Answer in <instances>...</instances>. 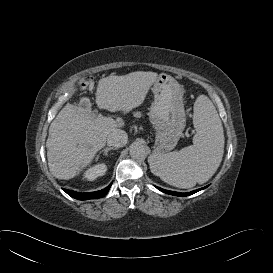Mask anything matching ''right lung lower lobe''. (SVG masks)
<instances>
[{"label":"right lung lower lobe","mask_w":273,"mask_h":273,"mask_svg":"<svg viewBox=\"0 0 273 273\" xmlns=\"http://www.w3.org/2000/svg\"><path fill=\"white\" fill-rule=\"evenodd\" d=\"M111 184L106 188L95 191V192H88V193H79L72 190L63 189L69 196L78 199V200H88V199H97L105 196L109 191Z\"/></svg>","instance_id":"98d812e1"}]
</instances>
